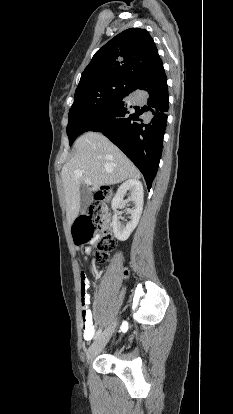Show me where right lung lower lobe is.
<instances>
[{
    "mask_svg": "<svg viewBox=\"0 0 233 414\" xmlns=\"http://www.w3.org/2000/svg\"><path fill=\"white\" fill-rule=\"evenodd\" d=\"M130 96V100H124ZM169 96L164 69L130 81L116 102L88 119L80 130L101 132L142 172L148 189L157 173L165 134Z\"/></svg>",
    "mask_w": 233,
    "mask_h": 414,
    "instance_id": "right-lung-lower-lobe-1",
    "label": "right lung lower lobe"
}]
</instances>
